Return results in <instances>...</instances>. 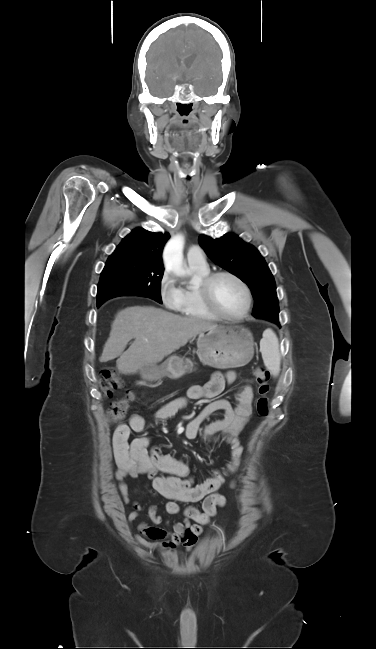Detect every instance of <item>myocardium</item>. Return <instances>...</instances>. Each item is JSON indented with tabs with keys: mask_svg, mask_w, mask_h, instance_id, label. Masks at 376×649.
Wrapping results in <instances>:
<instances>
[{
	"mask_svg": "<svg viewBox=\"0 0 376 649\" xmlns=\"http://www.w3.org/2000/svg\"><path fill=\"white\" fill-rule=\"evenodd\" d=\"M227 276L235 280L243 289L246 297V304L244 310L239 314V315H228L225 312H223L215 303L213 299V286L215 281L219 277ZM199 292L200 296L202 299V302L205 306V308L214 314L215 316L227 320V321H241L245 319L251 310L252 306V293L251 289L248 286V284L237 274L234 272L228 271V270H221V271H215L212 273H209L205 277H203L200 282H199Z\"/></svg>",
	"mask_w": 376,
	"mask_h": 649,
	"instance_id": "f54148a6",
	"label": "myocardium"
}]
</instances>
